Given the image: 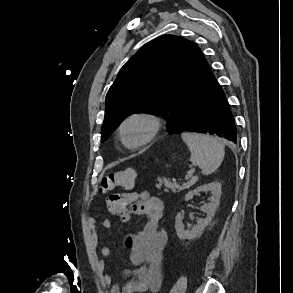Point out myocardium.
<instances>
[{
    "label": "myocardium",
    "mask_w": 293,
    "mask_h": 293,
    "mask_svg": "<svg viewBox=\"0 0 293 293\" xmlns=\"http://www.w3.org/2000/svg\"><path fill=\"white\" fill-rule=\"evenodd\" d=\"M133 120H143L147 122L149 125V130L147 135L142 140L136 143H128L124 136V128L129 122ZM160 130H161V121L157 116L147 112H136L127 116L121 122L118 131H119L120 139L125 147L129 149H137L153 141L158 135V133L160 132Z\"/></svg>",
    "instance_id": "1"
}]
</instances>
